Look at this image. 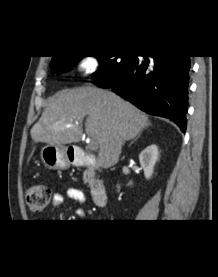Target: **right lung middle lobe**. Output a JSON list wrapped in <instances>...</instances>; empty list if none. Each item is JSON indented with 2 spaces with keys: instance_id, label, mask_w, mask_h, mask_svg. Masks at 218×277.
<instances>
[{
  "instance_id": "right-lung-middle-lobe-1",
  "label": "right lung middle lobe",
  "mask_w": 218,
  "mask_h": 277,
  "mask_svg": "<svg viewBox=\"0 0 218 277\" xmlns=\"http://www.w3.org/2000/svg\"><path fill=\"white\" fill-rule=\"evenodd\" d=\"M100 64L99 69L93 74L97 82L114 83L121 73L136 59L135 56H95ZM80 56L56 57L52 59L50 67L53 72L62 73L70 69L80 60Z\"/></svg>"
}]
</instances>
